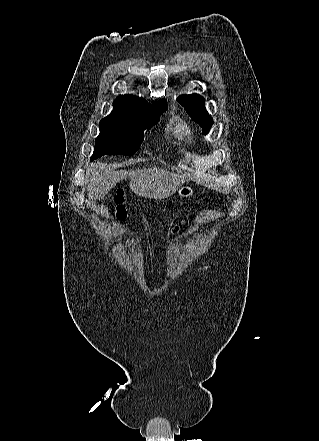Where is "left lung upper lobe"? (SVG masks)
Here are the masks:
<instances>
[{"mask_svg": "<svg viewBox=\"0 0 319 441\" xmlns=\"http://www.w3.org/2000/svg\"><path fill=\"white\" fill-rule=\"evenodd\" d=\"M189 116L202 127L204 134L210 130L213 119L209 116L204 99L197 94L181 95L177 99Z\"/></svg>", "mask_w": 319, "mask_h": 441, "instance_id": "1", "label": "left lung upper lobe"}]
</instances>
